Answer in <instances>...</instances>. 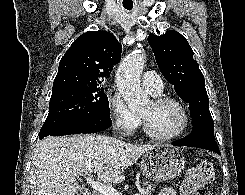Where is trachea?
<instances>
[{"instance_id": "1", "label": "trachea", "mask_w": 245, "mask_h": 195, "mask_svg": "<svg viewBox=\"0 0 245 195\" xmlns=\"http://www.w3.org/2000/svg\"><path fill=\"white\" fill-rule=\"evenodd\" d=\"M126 9L131 10L132 8H126Z\"/></svg>"}]
</instances>
